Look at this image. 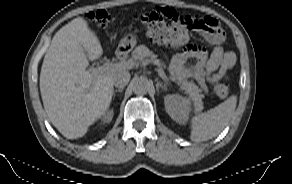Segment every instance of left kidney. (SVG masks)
I'll return each instance as SVG.
<instances>
[{
	"instance_id": "left-kidney-1",
	"label": "left kidney",
	"mask_w": 292,
	"mask_h": 184,
	"mask_svg": "<svg viewBox=\"0 0 292 184\" xmlns=\"http://www.w3.org/2000/svg\"><path fill=\"white\" fill-rule=\"evenodd\" d=\"M165 109L168 115L177 123L185 124L192 110L188 98L179 94L166 95L164 97Z\"/></svg>"
}]
</instances>
